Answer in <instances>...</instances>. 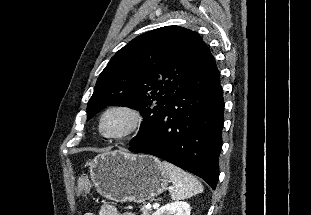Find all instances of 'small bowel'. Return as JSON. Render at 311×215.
Here are the masks:
<instances>
[{
    "mask_svg": "<svg viewBox=\"0 0 311 215\" xmlns=\"http://www.w3.org/2000/svg\"><path fill=\"white\" fill-rule=\"evenodd\" d=\"M83 215H95L93 213H85ZM99 215H135L132 212H120L114 205L112 204H104L101 206Z\"/></svg>",
    "mask_w": 311,
    "mask_h": 215,
    "instance_id": "obj_1",
    "label": "small bowel"
}]
</instances>
